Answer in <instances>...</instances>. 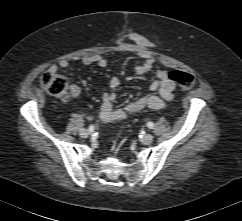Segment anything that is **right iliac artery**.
Instances as JSON below:
<instances>
[{
    "label": "right iliac artery",
    "mask_w": 242,
    "mask_h": 221,
    "mask_svg": "<svg viewBox=\"0 0 242 221\" xmlns=\"http://www.w3.org/2000/svg\"><path fill=\"white\" fill-rule=\"evenodd\" d=\"M88 129H89L90 132H93L94 131V125H90Z\"/></svg>",
    "instance_id": "right-iliac-artery-1"
}]
</instances>
